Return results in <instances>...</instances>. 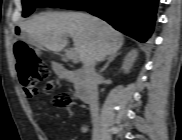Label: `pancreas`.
Segmentation results:
<instances>
[{"label": "pancreas", "mask_w": 182, "mask_h": 140, "mask_svg": "<svg viewBox=\"0 0 182 140\" xmlns=\"http://www.w3.org/2000/svg\"><path fill=\"white\" fill-rule=\"evenodd\" d=\"M54 71H55L56 75H58L59 78L72 80L71 74L68 71H66L61 65H55ZM76 88H78V87L76 86Z\"/></svg>", "instance_id": "pancreas-1"}]
</instances>
